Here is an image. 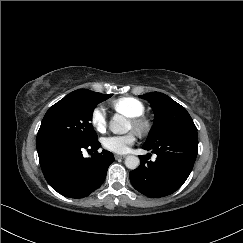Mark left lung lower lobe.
Segmentation results:
<instances>
[{"instance_id": "0a47b994", "label": "left lung lower lobe", "mask_w": 243, "mask_h": 243, "mask_svg": "<svg viewBox=\"0 0 243 243\" xmlns=\"http://www.w3.org/2000/svg\"><path fill=\"white\" fill-rule=\"evenodd\" d=\"M142 148L152 150L156 161L140 156L141 164L130 172V181L148 197H163L179 189L191 173L198 153V135L189 132Z\"/></svg>"}]
</instances>
